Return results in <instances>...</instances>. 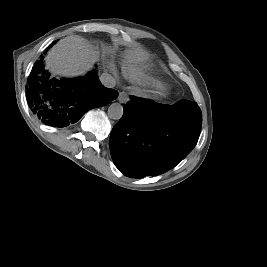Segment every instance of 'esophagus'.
<instances>
[{
    "label": "esophagus",
    "mask_w": 267,
    "mask_h": 267,
    "mask_svg": "<svg viewBox=\"0 0 267 267\" xmlns=\"http://www.w3.org/2000/svg\"><path fill=\"white\" fill-rule=\"evenodd\" d=\"M129 100V96L126 92H120L118 96V101L120 103H126Z\"/></svg>",
    "instance_id": "esophagus-1"
}]
</instances>
